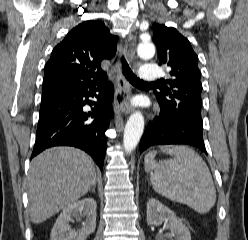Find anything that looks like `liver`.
<instances>
[{
  "mask_svg": "<svg viewBox=\"0 0 248 240\" xmlns=\"http://www.w3.org/2000/svg\"><path fill=\"white\" fill-rule=\"evenodd\" d=\"M96 181L93 160L72 147H53L36 156L28 175L30 218L41 223L84 196Z\"/></svg>",
  "mask_w": 248,
  "mask_h": 240,
  "instance_id": "obj_1",
  "label": "liver"
}]
</instances>
